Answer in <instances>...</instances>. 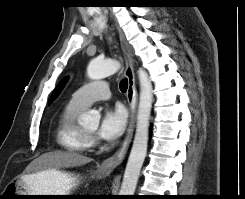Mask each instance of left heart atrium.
<instances>
[{
  "label": "left heart atrium",
  "mask_w": 245,
  "mask_h": 199,
  "mask_svg": "<svg viewBox=\"0 0 245 199\" xmlns=\"http://www.w3.org/2000/svg\"><path fill=\"white\" fill-rule=\"evenodd\" d=\"M127 123V114L122 106L107 108L102 116L98 135L101 139L112 142L124 132Z\"/></svg>",
  "instance_id": "1"
}]
</instances>
